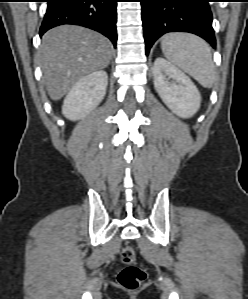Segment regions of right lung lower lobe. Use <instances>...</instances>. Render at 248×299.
I'll return each instance as SVG.
<instances>
[{
	"label": "right lung lower lobe",
	"mask_w": 248,
	"mask_h": 299,
	"mask_svg": "<svg viewBox=\"0 0 248 299\" xmlns=\"http://www.w3.org/2000/svg\"><path fill=\"white\" fill-rule=\"evenodd\" d=\"M48 6L40 36L63 24H75L98 31L116 47L117 0H47Z\"/></svg>",
	"instance_id": "1"
}]
</instances>
